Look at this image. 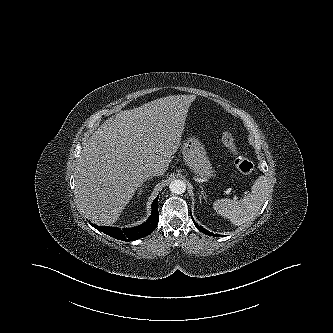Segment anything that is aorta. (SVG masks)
I'll return each instance as SVG.
<instances>
[{
  "label": "aorta",
  "instance_id": "obj_1",
  "mask_svg": "<svg viewBox=\"0 0 333 333\" xmlns=\"http://www.w3.org/2000/svg\"><path fill=\"white\" fill-rule=\"evenodd\" d=\"M169 189L173 194H182L186 190V184L182 180H174L170 183Z\"/></svg>",
  "mask_w": 333,
  "mask_h": 333
}]
</instances>
